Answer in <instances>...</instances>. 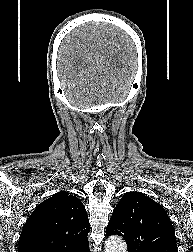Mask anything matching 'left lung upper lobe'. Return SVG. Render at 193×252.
Instances as JSON below:
<instances>
[{
    "label": "left lung upper lobe",
    "instance_id": "left-lung-upper-lobe-1",
    "mask_svg": "<svg viewBox=\"0 0 193 252\" xmlns=\"http://www.w3.org/2000/svg\"><path fill=\"white\" fill-rule=\"evenodd\" d=\"M106 234L122 236L128 252H178L174 228L167 212L140 192H128L121 198Z\"/></svg>",
    "mask_w": 193,
    "mask_h": 252
}]
</instances>
